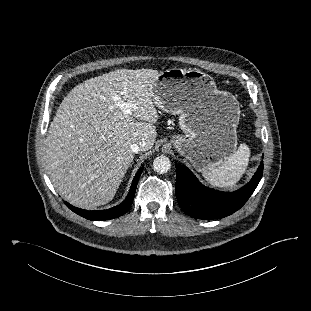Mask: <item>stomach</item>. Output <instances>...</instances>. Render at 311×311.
<instances>
[{
	"label": "stomach",
	"mask_w": 311,
	"mask_h": 311,
	"mask_svg": "<svg viewBox=\"0 0 311 311\" xmlns=\"http://www.w3.org/2000/svg\"><path fill=\"white\" fill-rule=\"evenodd\" d=\"M153 101L177 114L182 135L171 143L199 172L222 165L237 148L240 119L237 99L220 91L212 77L194 69H167L153 80Z\"/></svg>",
	"instance_id": "obj_1"
}]
</instances>
